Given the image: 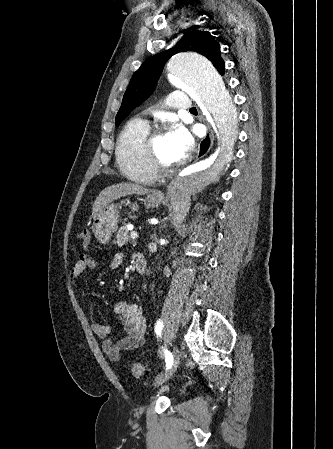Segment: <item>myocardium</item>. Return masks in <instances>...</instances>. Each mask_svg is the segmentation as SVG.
<instances>
[{
    "instance_id": "1",
    "label": "myocardium",
    "mask_w": 333,
    "mask_h": 449,
    "mask_svg": "<svg viewBox=\"0 0 333 449\" xmlns=\"http://www.w3.org/2000/svg\"><path fill=\"white\" fill-rule=\"evenodd\" d=\"M161 134H163V128L156 126L154 129L148 131L143 142V150L147 164L156 177L167 175L176 167V165H167L163 163L156 154L154 140Z\"/></svg>"
}]
</instances>
